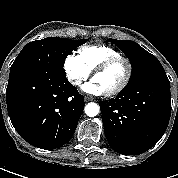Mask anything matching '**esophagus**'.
I'll return each instance as SVG.
<instances>
[{
    "mask_svg": "<svg viewBox=\"0 0 178 178\" xmlns=\"http://www.w3.org/2000/svg\"><path fill=\"white\" fill-rule=\"evenodd\" d=\"M93 98L92 97H85V102H89V101H92Z\"/></svg>",
    "mask_w": 178,
    "mask_h": 178,
    "instance_id": "1",
    "label": "esophagus"
}]
</instances>
